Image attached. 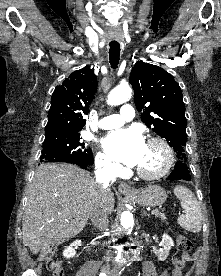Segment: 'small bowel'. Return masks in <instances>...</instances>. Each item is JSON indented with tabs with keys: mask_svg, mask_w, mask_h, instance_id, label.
Listing matches in <instances>:
<instances>
[{
	"mask_svg": "<svg viewBox=\"0 0 221 276\" xmlns=\"http://www.w3.org/2000/svg\"><path fill=\"white\" fill-rule=\"evenodd\" d=\"M191 257L188 253H182L181 257H176L173 260L174 268L171 272L172 276H183L182 269L186 262L190 261ZM179 264V266H178Z\"/></svg>",
	"mask_w": 221,
	"mask_h": 276,
	"instance_id": "small-bowel-1",
	"label": "small bowel"
}]
</instances>
